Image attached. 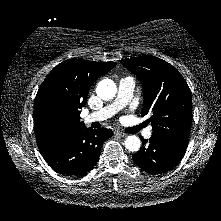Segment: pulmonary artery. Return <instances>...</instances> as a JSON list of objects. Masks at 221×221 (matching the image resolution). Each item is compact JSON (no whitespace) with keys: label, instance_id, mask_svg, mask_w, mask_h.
Returning <instances> with one entry per match:
<instances>
[{"label":"pulmonary artery","instance_id":"pulmonary-artery-1","mask_svg":"<svg viewBox=\"0 0 221 221\" xmlns=\"http://www.w3.org/2000/svg\"><path fill=\"white\" fill-rule=\"evenodd\" d=\"M135 87V82L132 77H125L119 81L118 84V94L115 101L102 109L87 114L84 117L85 123L99 122L106 120L113 116L116 112H118L121 108L126 106L132 96ZM152 135V128L149 127L143 132V136L146 138H150Z\"/></svg>","mask_w":221,"mask_h":221}]
</instances>
